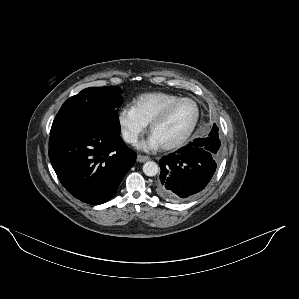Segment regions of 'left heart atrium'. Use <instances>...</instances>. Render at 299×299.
Returning a JSON list of instances; mask_svg holds the SVG:
<instances>
[{"instance_id": "obj_1", "label": "left heart atrium", "mask_w": 299, "mask_h": 299, "mask_svg": "<svg viewBox=\"0 0 299 299\" xmlns=\"http://www.w3.org/2000/svg\"><path fill=\"white\" fill-rule=\"evenodd\" d=\"M160 145L159 143L157 142V140L151 135L150 138L141 144V148L143 149H156L158 148Z\"/></svg>"}]
</instances>
